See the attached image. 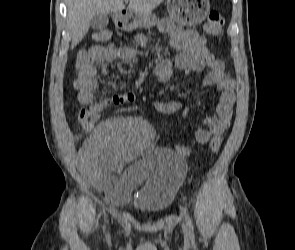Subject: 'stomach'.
Listing matches in <instances>:
<instances>
[{"mask_svg": "<svg viewBox=\"0 0 295 250\" xmlns=\"http://www.w3.org/2000/svg\"><path fill=\"white\" fill-rule=\"evenodd\" d=\"M210 10L208 0H167V11L171 19L182 25L201 23ZM157 23V17L152 12H132L117 15L118 26L125 31L138 27L151 28Z\"/></svg>", "mask_w": 295, "mask_h": 250, "instance_id": "obj_1", "label": "stomach"}]
</instances>
